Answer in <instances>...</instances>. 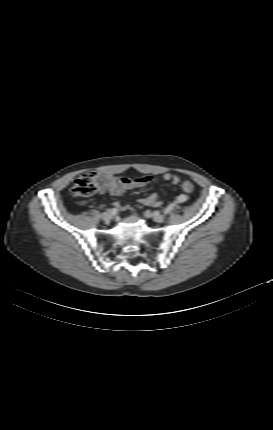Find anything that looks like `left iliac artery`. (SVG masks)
I'll return each mask as SVG.
<instances>
[{
  "label": "left iliac artery",
  "instance_id": "obj_1",
  "mask_svg": "<svg viewBox=\"0 0 273 430\" xmlns=\"http://www.w3.org/2000/svg\"><path fill=\"white\" fill-rule=\"evenodd\" d=\"M185 199H186V198H185V196H183V195H182V196L178 197V199H177V200H178V202H180V203H181V202L185 201ZM173 206H174V204H171L170 206H168V207L164 210V213H165V214L170 213V212H171V210L173 209Z\"/></svg>",
  "mask_w": 273,
  "mask_h": 430
}]
</instances>
